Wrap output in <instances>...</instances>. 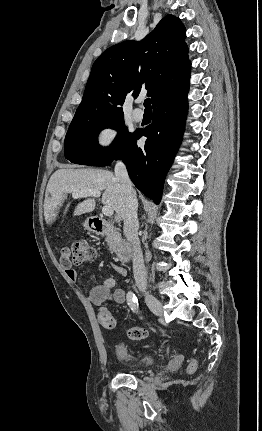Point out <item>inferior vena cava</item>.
I'll return each instance as SVG.
<instances>
[{
	"label": "inferior vena cava",
	"mask_w": 262,
	"mask_h": 431,
	"mask_svg": "<svg viewBox=\"0 0 262 431\" xmlns=\"http://www.w3.org/2000/svg\"><path fill=\"white\" fill-rule=\"evenodd\" d=\"M115 177L119 181L125 194L124 235L133 247V274L136 285L145 289L147 286V274L144 265L143 254L138 238L139 222L137 217L138 201L127 168L122 161L115 165Z\"/></svg>",
	"instance_id": "inferior-vena-cava-1"
}]
</instances>
